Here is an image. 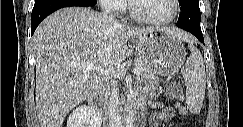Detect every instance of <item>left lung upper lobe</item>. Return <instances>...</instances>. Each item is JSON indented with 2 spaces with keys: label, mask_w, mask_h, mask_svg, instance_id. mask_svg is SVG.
I'll list each match as a JSON object with an SVG mask.
<instances>
[{
  "label": "left lung upper lobe",
  "mask_w": 243,
  "mask_h": 127,
  "mask_svg": "<svg viewBox=\"0 0 243 127\" xmlns=\"http://www.w3.org/2000/svg\"><path fill=\"white\" fill-rule=\"evenodd\" d=\"M189 2H198V0H179L181 6Z\"/></svg>",
  "instance_id": "1"
}]
</instances>
